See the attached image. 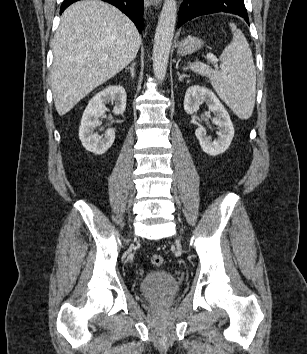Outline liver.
<instances>
[{"label":"liver","mask_w":307,"mask_h":354,"mask_svg":"<svg viewBox=\"0 0 307 354\" xmlns=\"http://www.w3.org/2000/svg\"><path fill=\"white\" fill-rule=\"evenodd\" d=\"M141 44L134 23L100 0L73 3L53 40L51 89L60 116L133 61Z\"/></svg>","instance_id":"6515ba94"}]
</instances>
